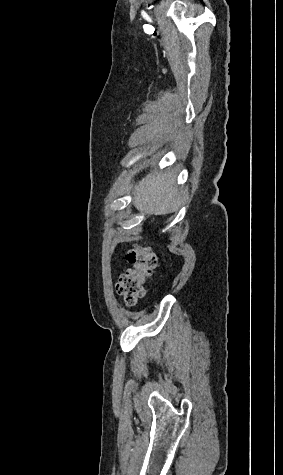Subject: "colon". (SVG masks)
Segmentation results:
<instances>
[{
    "label": "colon",
    "instance_id": "1",
    "mask_svg": "<svg viewBox=\"0 0 283 475\" xmlns=\"http://www.w3.org/2000/svg\"><path fill=\"white\" fill-rule=\"evenodd\" d=\"M127 261L132 267L120 275L116 289L127 306H136L144 296L145 284L158 267V259L150 245H136L129 251Z\"/></svg>",
    "mask_w": 283,
    "mask_h": 475
}]
</instances>
